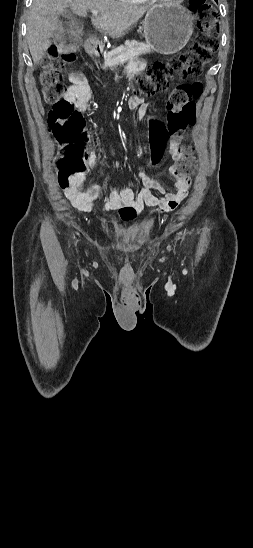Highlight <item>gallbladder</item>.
<instances>
[{
	"label": "gallbladder",
	"instance_id": "1",
	"mask_svg": "<svg viewBox=\"0 0 253 548\" xmlns=\"http://www.w3.org/2000/svg\"><path fill=\"white\" fill-rule=\"evenodd\" d=\"M68 14H69L68 11H63V12H61V15H62V16H67Z\"/></svg>",
	"mask_w": 253,
	"mask_h": 548
}]
</instances>
